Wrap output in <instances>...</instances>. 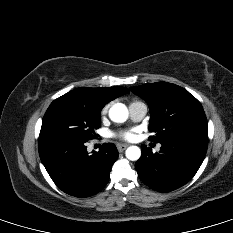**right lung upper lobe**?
<instances>
[{
	"label": "right lung upper lobe",
	"instance_id": "1",
	"mask_svg": "<svg viewBox=\"0 0 233 233\" xmlns=\"http://www.w3.org/2000/svg\"><path fill=\"white\" fill-rule=\"evenodd\" d=\"M128 92L129 90L124 87H82L72 90L68 94L90 106L102 109L106 103Z\"/></svg>",
	"mask_w": 233,
	"mask_h": 233
}]
</instances>
